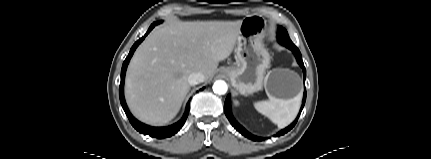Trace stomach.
Here are the masks:
<instances>
[{
  "mask_svg": "<svg viewBox=\"0 0 431 159\" xmlns=\"http://www.w3.org/2000/svg\"><path fill=\"white\" fill-rule=\"evenodd\" d=\"M267 29L266 20L260 15L246 16L240 26L236 63L223 67L221 73L229 78L231 85L242 95L258 92L264 86L268 96L289 100L302 89L299 75L287 69H275L266 75L270 55L262 42Z\"/></svg>",
  "mask_w": 431,
  "mask_h": 159,
  "instance_id": "1",
  "label": "stomach"
}]
</instances>
